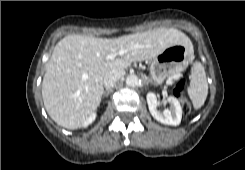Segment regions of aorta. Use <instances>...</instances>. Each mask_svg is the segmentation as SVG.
<instances>
[{
	"instance_id": "aorta-1",
	"label": "aorta",
	"mask_w": 245,
	"mask_h": 170,
	"mask_svg": "<svg viewBox=\"0 0 245 170\" xmlns=\"http://www.w3.org/2000/svg\"><path fill=\"white\" fill-rule=\"evenodd\" d=\"M138 77L134 74L128 75L126 78V85L130 87H134L138 84Z\"/></svg>"
}]
</instances>
